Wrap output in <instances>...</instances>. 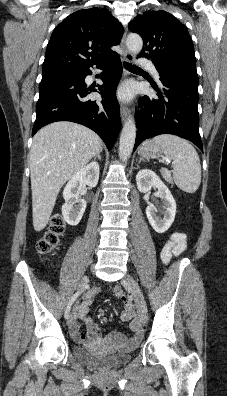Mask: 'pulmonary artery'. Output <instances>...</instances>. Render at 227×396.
<instances>
[{
    "instance_id": "obj_1",
    "label": "pulmonary artery",
    "mask_w": 227,
    "mask_h": 396,
    "mask_svg": "<svg viewBox=\"0 0 227 396\" xmlns=\"http://www.w3.org/2000/svg\"><path fill=\"white\" fill-rule=\"evenodd\" d=\"M139 64L143 67H146L157 80L159 79L158 71L150 60L140 59Z\"/></svg>"
}]
</instances>
